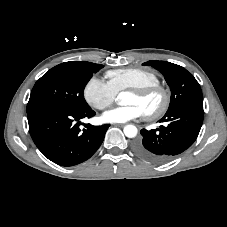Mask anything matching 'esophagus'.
Wrapping results in <instances>:
<instances>
[{"label": "esophagus", "instance_id": "34e87169", "mask_svg": "<svg viewBox=\"0 0 227 227\" xmlns=\"http://www.w3.org/2000/svg\"><path fill=\"white\" fill-rule=\"evenodd\" d=\"M115 126H118V127H123L124 126V124H119V123H116V124H114Z\"/></svg>", "mask_w": 227, "mask_h": 227}]
</instances>
